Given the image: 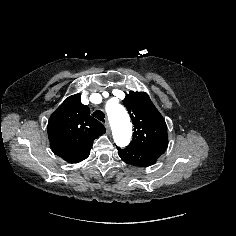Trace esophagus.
Here are the masks:
<instances>
[{
  "label": "esophagus",
  "instance_id": "esophagus-1",
  "mask_svg": "<svg viewBox=\"0 0 236 236\" xmlns=\"http://www.w3.org/2000/svg\"><path fill=\"white\" fill-rule=\"evenodd\" d=\"M105 128H106V130H107V133H110V125H109V123L108 122H105Z\"/></svg>",
  "mask_w": 236,
  "mask_h": 236
}]
</instances>
